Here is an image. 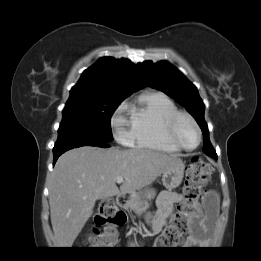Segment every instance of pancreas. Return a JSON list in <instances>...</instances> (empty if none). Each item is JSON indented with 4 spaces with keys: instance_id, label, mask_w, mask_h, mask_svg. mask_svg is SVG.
<instances>
[{
    "instance_id": "pancreas-1",
    "label": "pancreas",
    "mask_w": 261,
    "mask_h": 261,
    "mask_svg": "<svg viewBox=\"0 0 261 261\" xmlns=\"http://www.w3.org/2000/svg\"><path fill=\"white\" fill-rule=\"evenodd\" d=\"M149 208V204L147 202H139L132 207V210L136 215L141 216L146 210Z\"/></svg>"
}]
</instances>
